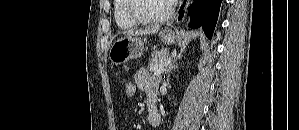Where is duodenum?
<instances>
[{"label": "duodenum", "instance_id": "duodenum-1", "mask_svg": "<svg viewBox=\"0 0 299 130\" xmlns=\"http://www.w3.org/2000/svg\"><path fill=\"white\" fill-rule=\"evenodd\" d=\"M147 107L149 110V115L151 117H155L158 115V101H157V97L154 95H148L147 96Z\"/></svg>", "mask_w": 299, "mask_h": 130}]
</instances>
